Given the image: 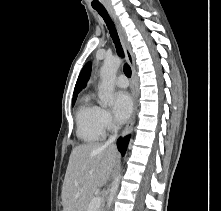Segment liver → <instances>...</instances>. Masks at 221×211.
<instances>
[{"instance_id":"6515ba94","label":"liver","mask_w":221,"mask_h":211,"mask_svg":"<svg viewBox=\"0 0 221 211\" xmlns=\"http://www.w3.org/2000/svg\"><path fill=\"white\" fill-rule=\"evenodd\" d=\"M118 158L115 147L101 143L73 148L62 187L63 211H84L87 198L106 184Z\"/></svg>"}]
</instances>
